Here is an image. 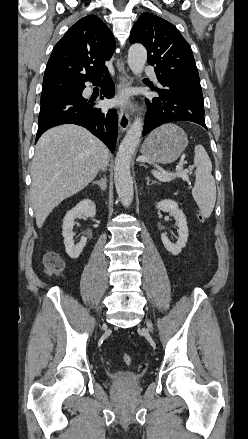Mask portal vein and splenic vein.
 I'll return each mask as SVG.
<instances>
[{
	"label": "portal vein and splenic vein",
	"mask_w": 248,
	"mask_h": 439,
	"mask_svg": "<svg viewBox=\"0 0 248 439\" xmlns=\"http://www.w3.org/2000/svg\"><path fill=\"white\" fill-rule=\"evenodd\" d=\"M183 170V164L179 163L176 166V173H168V172H159L156 170L152 171L153 176H155L157 179H159L160 181L166 182V181H170L172 179V177H181L183 180H189L188 175H187V170L182 171ZM172 176V177H169Z\"/></svg>",
	"instance_id": "18ae733b"
}]
</instances>
